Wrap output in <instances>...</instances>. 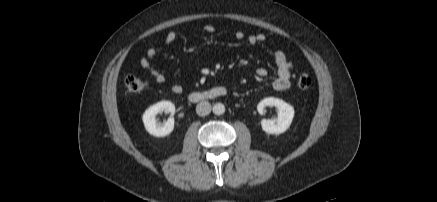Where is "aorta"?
<instances>
[{
    "instance_id": "obj_1",
    "label": "aorta",
    "mask_w": 437,
    "mask_h": 202,
    "mask_svg": "<svg viewBox=\"0 0 437 202\" xmlns=\"http://www.w3.org/2000/svg\"><path fill=\"white\" fill-rule=\"evenodd\" d=\"M224 112H225V106H224V104H222V103H216V104L213 106V113H214L215 115H222V114H224Z\"/></svg>"
}]
</instances>
